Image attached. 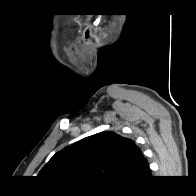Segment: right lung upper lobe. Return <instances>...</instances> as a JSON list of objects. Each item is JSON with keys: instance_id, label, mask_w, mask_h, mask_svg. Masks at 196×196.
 <instances>
[{"instance_id": "cb5924a9", "label": "right lung upper lobe", "mask_w": 196, "mask_h": 196, "mask_svg": "<svg viewBox=\"0 0 196 196\" xmlns=\"http://www.w3.org/2000/svg\"><path fill=\"white\" fill-rule=\"evenodd\" d=\"M149 175L136 144L113 132L94 134L57 152L38 174L55 184L93 188L136 184Z\"/></svg>"}]
</instances>
